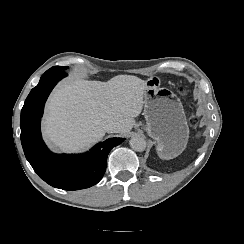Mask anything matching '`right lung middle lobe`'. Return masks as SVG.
I'll return each instance as SVG.
<instances>
[{
	"instance_id": "obj_1",
	"label": "right lung middle lobe",
	"mask_w": 244,
	"mask_h": 244,
	"mask_svg": "<svg viewBox=\"0 0 244 244\" xmlns=\"http://www.w3.org/2000/svg\"><path fill=\"white\" fill-rule=\"evenodd\" d=\"M68 67H60V66H56V67H54V69H59V70H65V69H67Z\"/></svg>"
}]
</instances>
